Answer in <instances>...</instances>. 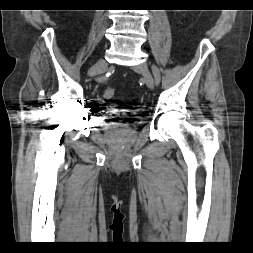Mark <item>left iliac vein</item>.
<instances>
[{
	"label": "left iliac vein",
	"instance_id": "1",
	"mask_svg": "<svg viewBox=\"0 0 253 253\" xmlns=\"http://www.w3.org/2000/svg\"><path fill=\"white\" fill-rule=\"evenodd\" d=\"M134 70L141 73V75L143 76L144 82L146 83L148 88L150 89L154 88L153 76L146 62H141L140 64L134 66Z\"/></svg>",
	"mask_w": 253,
	"mask_h": 253
}]
</instances>
